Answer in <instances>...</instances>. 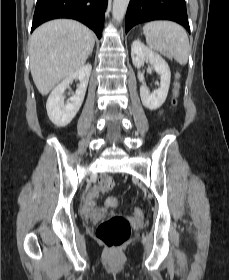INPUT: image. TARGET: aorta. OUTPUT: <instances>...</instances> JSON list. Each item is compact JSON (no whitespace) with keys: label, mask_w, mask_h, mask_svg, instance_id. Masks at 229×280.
Instances as JSON below:
<instances>
[{"label":"aorta","mask_w":229,"mask_h":280,"mask_svg":"<svg viewBox=\"0 0 229 280\" xmlns=\"http://www.w3.org/2000/svg\"><path fill=\"white\" fill-rule=\"evenodd\" d=\"M129 1L130 0H114L113 1L112 15H113L114 20L117 23H120L123 20L127 7H128V4H129Z\"/></svg>","instance_id":"762f6f07"}]
</instances>
